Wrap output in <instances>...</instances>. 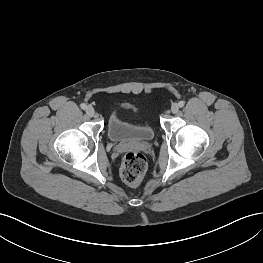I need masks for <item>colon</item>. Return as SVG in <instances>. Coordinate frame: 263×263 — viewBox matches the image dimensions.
<instances>
[{"label":"colon","mask_w":263,"mask_h":263,"mask_svg":"<svg viewBox=\"0 0 263 263\" xmlns=\"http://www.w3.org/2000/svg\"><path fill=\"white\" fill-rule=\"evenodd\" d=\"M146 170V157L140 152L131 151L126 153L122 159L120 176L125 184L135 187L142 182Z\"/></svg>","instance_id":"obj_1"}]
</instances>
